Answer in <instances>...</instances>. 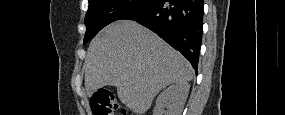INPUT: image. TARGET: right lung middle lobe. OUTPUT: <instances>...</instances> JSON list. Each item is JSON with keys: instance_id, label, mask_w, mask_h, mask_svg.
<instances>
[{"instance_id": "dd1d6c3e", "label": "right lung middle lobe", "mask_w": 285, "mask_h": 115, "mask_svg": "<svg viewBox=\"0 0 285 115\" xmlns=\"http://www.w3.org/2000/svg\"><path fill=\"white\" fill-rule=\"evenodd\" d=\"M153 0H89L85 16L86 34L84 44L90 41L109 23L149 4Z\"/></svg>"}]
</instances>
